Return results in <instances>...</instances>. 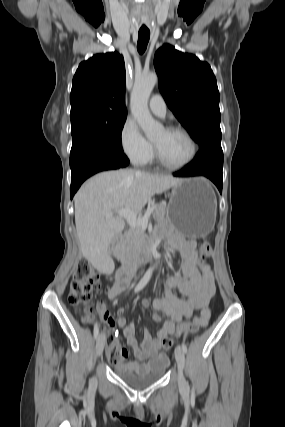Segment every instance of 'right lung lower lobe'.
Returning a JSON list of instances; mask_svg holds the SVG:
<instances>
[{
    "mask_svg": "<svg viewBox=\"0 0 285 427\" xmlns=\"http://www.w3.org/2000/svg\"><path fill=\"white\" fill-rule=\"evenodd\" d=\"M129 160L125 154H116L102 149H92L83 153L71 166L70 196H74L80 185L90 176L100 171L126 167Z\"/></svg>",
    "mask_w": 285,
    "mask_h": 427,
    "instance_id": "98d812e1",
    "label": "right lung lower lobe"
}]
</instances>
